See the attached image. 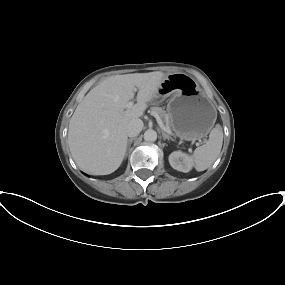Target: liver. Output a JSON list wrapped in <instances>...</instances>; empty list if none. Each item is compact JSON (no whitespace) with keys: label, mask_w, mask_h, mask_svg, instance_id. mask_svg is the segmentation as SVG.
Segmentation results:
<instances>
[{"label":"liver","mask_w":285,"mask_h":285,"mask_svg":"<svg viewBox=\"0 0 285 285\" xmlns=\"http://www.w3.org/2000/svg\"><path fill=\"white\" fill-rule=\"evenodd\" d=\"M166 74L160 71L111 76L91 89L69 123L68 144L77 166L93 175L113 173L121 165L128 137L127 124L141 117ZM137 103L126 104L134 98Z\"/></svg>","instance_id":"obj_1"}]
</instances>
